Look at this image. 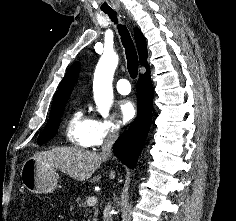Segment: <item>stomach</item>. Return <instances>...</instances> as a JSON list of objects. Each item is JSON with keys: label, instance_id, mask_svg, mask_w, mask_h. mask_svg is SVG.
<instances>
[{"label": "stomach", "instance_id": "1", "mask_svg": "<svg viewBox=\"0 0 236 221\" xmlns=\"http://www.w3.org/2000/svg\"><path fill=\"white\" fill-rule=\"evenodd\" d=\"M21 178L23 185L30 192L47 194L55 190L59 175L54 168L31 157L22 166Z\"/></svg>", "mask_w": 236, "mask_h": 221}]
</instances>
